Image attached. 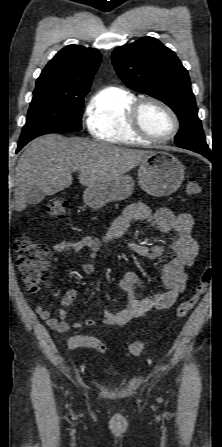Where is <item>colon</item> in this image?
Listing matches in <instances>:
<instances>
[{
    "mask_svg": "<svg viewBox=\"0 0 222 447\" xmlns=\"http://www.w3.org/2000/svg\"><path fill=\"white\" fill-rule=\"evenodd\" d=\"M201 185L195 178H189L186 182L185 193L187 196H197L201 193ZM68 202L64 197L50 199L45 204V212L50 217L60 220L66 217ZM14 249L17 255L16 265L19 275L28 291L36 293L39 287L51 279L49 259L51 251L46 244L33 241L24 234L18 235L14 240ZM213 278V269L210 266L204 268L200 275L199 284L195 292L179 303L176 308V317H185L198 303ZM93 349L99 353L106 352V346L99 340L93 342ZM144 349L142 341H134L128 347L132 356H139Z\"/></svg>",
    "mask_w": 222,
    "mask_h": 447,
    "instance_id": "colon-1",
    "label": "colon"
}]
</instances>
